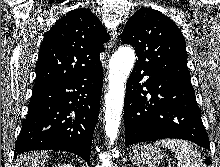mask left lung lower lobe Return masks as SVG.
Returning a JSON list of instances; mask_svg holds the SVG:
<instances>
[{"label":"left lung lower lobe","mask_w":220,"mask_h":167,"mask_svg":"<svg viewBox=\"0 0 220 167\" xmlns=\"http://www.w3.org/2000/svg\"><path fill=\"white\" fill-rule=\"evenodd\" d=\"M144 76L149 78L143 80ZM124 121L126 146L177 138L210 149L188 79L168 77L135 64L126 85Z\"/></svg>","instance_id":"obj_1"}]
</instances>
